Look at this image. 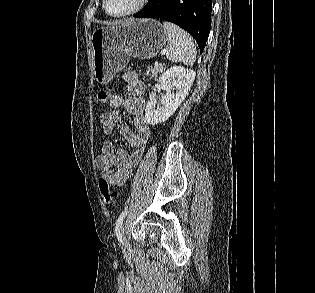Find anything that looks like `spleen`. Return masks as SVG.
<instances>
[{"instance_id": "3e777b00", "label": "spleen", "mask_w": 315, "mask_h": 293, "mask_svg": "<svg viewBox=\"0 0 315 293\" xmlns=\"http://www.w3.org/2000/svg\"><path fill=\"white\" fill-rule=\"evenodd\" d=\"M163 24L168 39L167 58L172 62L193 65L197 52L192 37L173 23L165 21Z\"/></svg>"}]
</instances>
